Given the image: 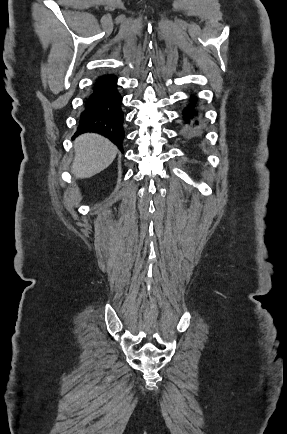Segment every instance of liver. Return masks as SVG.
<instances>
[{"label": "liver", "instance_id": "obj_1", "mask_svg": "<svg viewBox=\"0 0 287 434\" xmlns=\"http://www.w3.org/2000/svg\"><path fill=\"white\" fill-rule=\"evenodd\" d=\"M75 158L72 173L75 178H89L106 169L115 159L117 147L98 134H83L74 142Z\"/></svg>", "mask_w": 287, "mask_h": 434}]
</instances>
